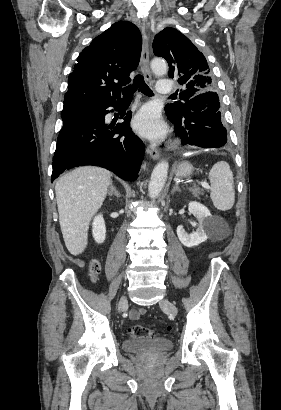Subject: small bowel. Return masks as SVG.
Returning a JSON list of instances; mask_svg holds the SVG:
<instances>
[{
  "label": "small bowel",
  "mask_w": 281,
  "mask_h": 410,
  "mask_svg": "<svg viewBox=\"0 0 281 410\" xmlns=\"http://www.w3.org/2000/svg\"><path fill=\"white\" fill-rule=\"evenodd\" d=\"M141 313H142L141 310L135 309L131 312V318L137 319Z\"/></svg>",
  "instance_id": "c3829d8e"
}]
</instances>
